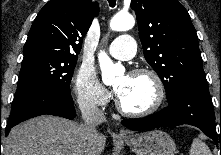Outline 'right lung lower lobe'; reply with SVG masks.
<instances>
[{
  "label": "right lung lower lobe",
  "instance_id": "right-lung-lower-lobe-1",
  "mask_svg": "<svg viewBox=\"0 0 221 155\" xmlns=\"http://www.w3.org/2000/svg\"><path fill=\"white\" fill-rule=\"evenodd\" d=\"M43 114L56 115L67 119L75 118L74 102L71 95L42 86L29 88L15 103H12L5 135L7 136L10 129L20 122Z\"/></svg>",
  "mask_w": 221,
  "mask_h": 155
}]
</instances>
